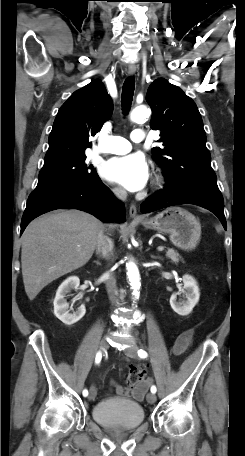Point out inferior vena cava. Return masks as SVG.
<instances>
[{
  "label": "inferior vena cava",
  "instance_id": "602c4592",
  "mask_svg": "<svg viewBox=\"0 0 245 456\" xmlns=\"http://www.w3.org/2000/svg\"><path fill=\"white\" fill-rule=\"evenodd\" d=\"M113 193L122 201H125L127 198L126 190L121 187L113 189ZM113 247V241L109 237L105 236L103 231H101L96 245V253L102 254L104 257H110ZM105 276L107 277L106 288L109 299L112 304H119V299L116 296V279L108 273H106Z\"/></svg>",
  "mask_w": 245,
  "mask_h": 456
}]
</instances>
